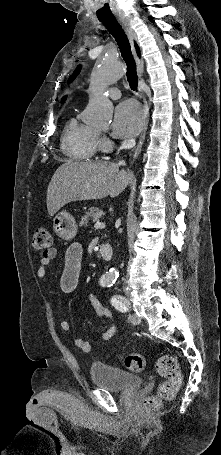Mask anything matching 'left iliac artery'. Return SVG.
I'll list each match as a JSON object with an SVG mask.
<instances>
[{
	"instance_id": "obj_1",
	"label": "left iliac artery",
	"mask_w": 221,
	"mask_h": 455,
	"mask_svg": "<svg viewBox=\"0 0 221 455\" xmlns=\"http://www.w3.org/2000/svg\"><path fill=\"white\" fill-rule=\"evenodd\" d=\"M112 305L121 312H127L129 309V301L122 295H113L111 297Z\"/></svg>"
}]
</instances>
